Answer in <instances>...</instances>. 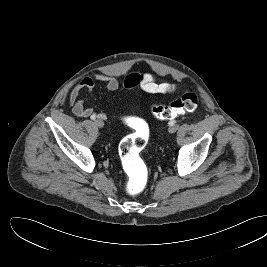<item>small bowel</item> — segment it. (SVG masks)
I'll use <instances>...</instances> for the list:
<instances>
[{
  "label": "small bowel",
  "instance_id": "obj_1",
  "mask_svg": "<svg viewBox=\"0 0 267 267\" xmlns=\"http://www.w3.org/2000/svg\"><path fill=\"white\" fill-rule=\"evenodd\" d=\"M97 80L104 84V88L108 92L117 91L120 87L119 80L114 76L98 75ZM124 89L131 90L140 87L149 93H172L176 90V85L170 82L157 83L156 77L151 73H132L124 80ZM95 87V81L90 77L82 78L71 90L69 94V104L72 106L73 113L81 118H88L92 115L99 119H105V112H95L92 107H88L81 98L83 92L90 93Z\"/></svg>",
  "mask_w": 267,
  "mask_h": 267
}]
</instances>
